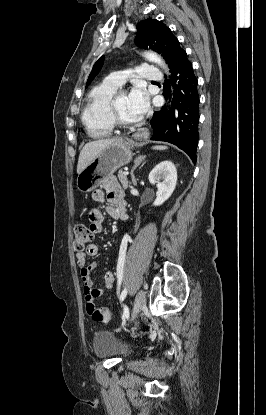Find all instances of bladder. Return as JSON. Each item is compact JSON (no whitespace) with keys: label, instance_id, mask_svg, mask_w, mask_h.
Segmentation results:
<instances>
[{"label":"bladder","instance_id":"bladder-1","mask_svg":"<svg viewBox=\"0 0 266 415\" xmlns=\"http://www.w3.org/2000/svg\"><path fill=\"white\" fill-rule=\"evenodd\" d=\"M92 349L99 358H125L131 354V348L113 332L99 330L95 332Z\"/></svg>","mask_w":266,"mask_h":415}]
</instances>
